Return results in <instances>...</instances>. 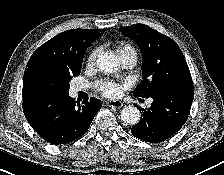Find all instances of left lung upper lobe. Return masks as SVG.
<instances>
[{
	"instance_id": "5c2ea615",
	"label": "left lung upper lobe",
	"mask_w": 224,
	"mask_h": 175,
	"mask_svg": "<svg viewBox=\"0 0 224 175\" xmlns=\"http://www.w3.org/2000/svg\"><path fill=\"white\" fill-rule=\"evenodd\" d=\"M119 30L136 42L143 57V81L135 97L148 98L168 89L194 91L188 65L175 41L144 24Z\"/></svg>"
}]
</instances>
